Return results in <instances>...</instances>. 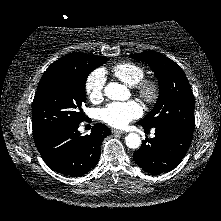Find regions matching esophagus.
I'll return each mask as SVG.
<instances>
[{
	"label": "esophagus",
	"instance_id": "obj_1",
	"mask_svg": "<svg viewBox=\"0 0 221 221\" xmlns=\"http://www.w3.org/2000/svg\"><path fill=\"white\" fill-rule=\"evenodd\" d=\"M112 133H114V134H125L126 132L122 131V130H118V129H112Z\"/></svg>",
	"mask_w": 221,
	"mask_h": 221
}]
</instances>
